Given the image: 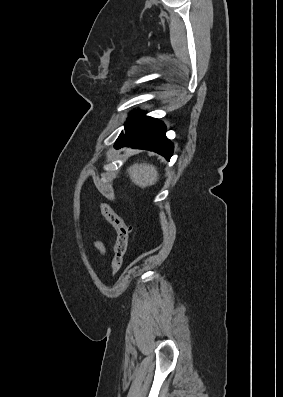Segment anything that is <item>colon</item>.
Listing matches in <instances>:
<instances>
[{"mask_svg":"<svg viewBox=\"0 0 283 397\" xmlns=\"http://www.w3.org/2000/svg\"><path fill=\"white\" fill-rule=\"evenodd\" d=\"M101 213L104 218L116 231V241L114 244V255L111 263V273L116 274L122 267L124 256L127 250L129 239V227L112 207L107 203H102Z\"/></svg>","mask_w":283,"mask_h":397,"instance_id":"colon-1","label":"colon"}]
</instances>
